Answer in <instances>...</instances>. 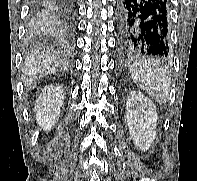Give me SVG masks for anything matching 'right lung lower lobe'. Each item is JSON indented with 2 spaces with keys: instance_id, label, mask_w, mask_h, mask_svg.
Instances as JSON below:
<instances>
[{
  "instance_id": "right-lung-lower-lobe-1",
  "label": "right lung lower lobe",
  "mask_w": 197,
  "mask_h": 181,
  "mask_svg": "<svg viewBox=\"0 0 197 181\" xmlns=\"http://www.w3.org/2000/svg\"><path fill=\"white\" fill-rule=\"evenodd\" d=\"M35 22L61 31L75 25L76 0H34Z\"/></svg>"
}]
</instances>
